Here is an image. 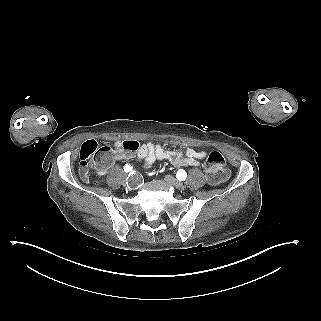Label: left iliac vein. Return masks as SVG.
Instances as JSON below:
<instances>
[{"label":"left iliac vein","mask_w":321,"mask_h":321,"mask_svg":"<svg viewBox=\"0 0 321 321\" xmlns=\"http://www.w3.org/2000/svg\"><path fill=\"white\" fill-rule=\"evenodd\" d=\"M165 180L175 188H182L184 186L183 182L177 180L175 177L172 175H166Z\"/></svg>","instance_id":"left-iliac-vein-1"}]
</instances>
